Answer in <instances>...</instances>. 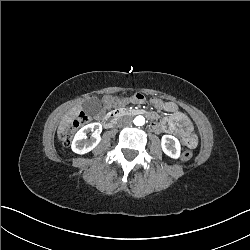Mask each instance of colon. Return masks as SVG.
<instances>
[{
  "mask_svg": "<svg viewBox=\"0 0 250 250\" xmlns=\"http://www.w3.org/2000/svg\"><path fill=\"white\" fill-rule=\"evenodd\" d=\"M133 100L137 103H142L145 101V96L142 93H136L133 96ZM150 105H161V100H150ZM98 111L96 106H91L88 112H80L74 121H69L66 124L65 129H61L56 133V138L62 142L61 148L64 151H69L72 148L70 140L76 134V130L95 121ZM185 142L188 148H194L197 143L193 135L185 140ZM190 157V151H186L180 155V159L183 161H187Z\"/></svg>",
  "mask_w": 250,
  "mask_h": 250,
  "instance_id": "1",
  "label": "colon"
}]
</instances>
